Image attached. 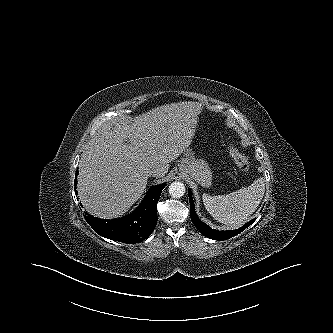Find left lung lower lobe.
Returning a JSON list of instances; mask_svg holds the SVG:
<instances>
[{
    "mask_svg": "<svg viewBox=\"0 0 333 333\" xmlns=\"http://www.w3.org/2000/svg\"><path fill=\"white\" fill-rule=\"evenodd\" d=\"M189 200H190V215H191V220L195 227L206 237L214 240H226L231 237L236 236L237 234L241 233L244 231L245 228L249 227L256 219L250 220L248 223H246L244 226L237 230H227V231H219V230H214L207 226V224L203 223L198 216L196 215L195 212V206H194V201L192 198V193L189 190Z\"/></svg>",
    "mask_w": 333,
    "mask_h": 333,
    "instance_id": "obj_1",
    "label": "left lung lower lobe"
}]
</instances>
